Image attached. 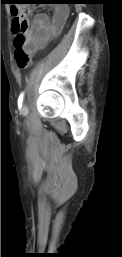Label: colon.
Here are the masks:
<instances>
[{
	"label": "colon",
	"mask_w": 122,
	"mask_h": 257,
	"mask_svg": "<svg viewBox=\"0 0 122 257\" xmlns=\"http://www.w3.org/2000/svg\"><path fill=\"white\" fill-rule=\"evenodd\" d=\"M24 10H28V5H11L12 30L15 33L14 39V58L17 65L21 68L27 67L29 55L23 49L25 32L28 28V20Z\"/></svg>",
	"instance_id": "1"
}]
</instances>
